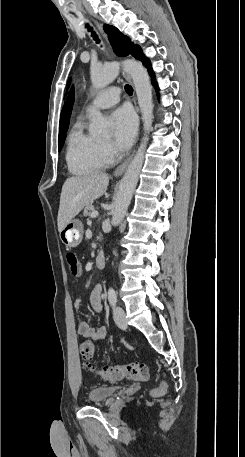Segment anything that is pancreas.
<instances>
[{"instance_id": "cf45deb5", "label": "pancreas", "mask_w": 245, "mask_h": 457, "mask_svg": "<svg viewBox=\"0 0 245 457\" xmlns=\"http://www.w3.org/2000/svg\"><path fill=\"white\" fill-rule=\"evenodd\" d=\"M93 210H95L92 202H88V204H85V208H84V216H90L91 212H93Z\"/></svg>"}]
</instances>
